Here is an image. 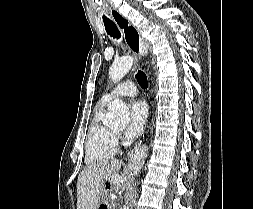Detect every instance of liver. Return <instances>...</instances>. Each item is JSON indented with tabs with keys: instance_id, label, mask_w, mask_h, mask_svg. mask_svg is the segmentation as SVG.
Here are the masks:
<instances>
[{
	"instance_id": "6515ba94",
	"label": "liver",
	"mask_w": 253,
	"mask_h": 209,
	"mask_svg": "<svg viewBox=\"0 0 253 209\" xmlns=\"http://www.w3.org/2000/svg\"><path fill=\"white\" fill-rule=\"evenodd\" d=\"M121 166L120 161L109 160L84 168L77 180V209H97L107 181L118 191L129 179L127 170L120 172Z\"/></svg>"
}]
</instances>
